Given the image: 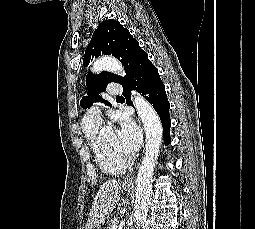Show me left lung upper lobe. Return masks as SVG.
I'll list each match as a JSON object with an SVG mask.
<instances>
[{
	"mask_svg": "<svg viewBox=\"0 0 255 229\" xmlns=\"http://www.w3.org/2000/svg\"><path fill=\"white\" fill-rule=\"evenodd\" d=\"M144 53L138 41L118 21L110 19L100 23L86 48L83 65L88 66L90 60L94 57L112 54L123 64L126 71V79L105 71L99 75L88 73L86 86L89 91L87 96H84L80 102L82 108H90L94 102L98 101L111 106L109 102L99 96V93L105 91L110 82L125 84Z\"/></svg>",
	"mask_w": 255,
	"mask_h": 229,
	"instance_id": "5c2ea615",
	"label": "left lung upper lobe"
}]
</instances>
